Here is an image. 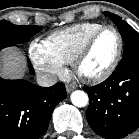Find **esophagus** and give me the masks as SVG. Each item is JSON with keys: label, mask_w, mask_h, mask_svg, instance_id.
<instances>
[{"label": "esophagus", "mask_w": 139, "mask_h": 139, "mask_svg": "<svg viewBox=\"0 0 139 139\" xmlns=\"http://www.w3.org/2000/svg\"><path fill=\"white\" fill-rule=\"evenodd\" d=\"M75 88H76V85L75 84H67L66 85V91L68 93H70L71 91H73Z\"/></svg>", "instance_id": "obj_1"}]
</instances>
